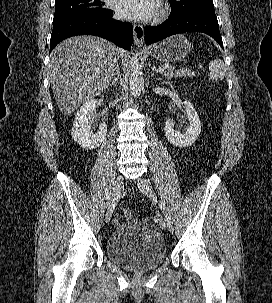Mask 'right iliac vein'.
Instances as JSON below:
<instances>
[{"mask_svg": "<svg viewBox=\"0 0 272 303\" xmlns=\"http://www.w3.org/2000/svg\"><path fill=\"white\" fill-rule=\"evenodd\" d=\"M123 187H124L123 178H122V176L118 175L116 177V180H115V183H114L112 198L109 202V205H108V208H107V211H106V215H105V221L106 222H109L111 217H112V214H113L114 208L117 204V201H118V199L120 198V196L122 194Z\"/></svg>", "mask_w": 272, "mask_h": 303, "instance_id": "right-iliac-vein-1", "label": "right iliac vein"}]
</instances>
